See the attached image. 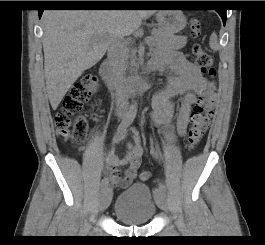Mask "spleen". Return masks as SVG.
Listing matches in <instances>:
<instances>
[{
    "label": "spleen",
    "mask_w": 265,
    "mask_h": 245,
    "mask_svg": "<svg viewBox=\"0 0 265 245\" xmlns=\"http://www.w3.org/2000/svg\"><path fill=\"white\" fill-rule=\"evenodd\" d=\"M210 47L213 50H218V48H219L218 41H217V35L215 33H213L211 35V38H210Z\"/></svg>",
    "instance_id": "3e777b00"
}]
</instances>
